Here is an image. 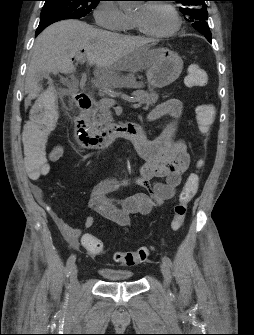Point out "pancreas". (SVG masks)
<instances>
[{"instance_id":"1","label":"pancreas","mask_w":254,"mask_h":335,"mask_svg":"<svg viewBox=\"0 0 254 335\" xmlns=\"http://www.w3.org/2000/svg\"><path fill=\"white\" fill-rule=\"evenodd\" d=\"M134 101L139 102L144 105L143 109L148 110L150 107L154 106L158 101V94L151 90L150 92L137 90L132 93ZM93 116V127L95 129L102 128L105 125L110 124L113 121L109 106L105 105L103 100L96 103L95 108L92 111Z\"/></svg>"}]
</instances>
